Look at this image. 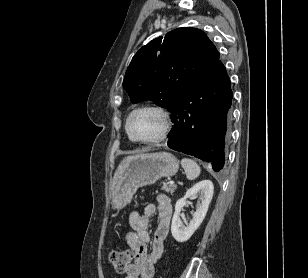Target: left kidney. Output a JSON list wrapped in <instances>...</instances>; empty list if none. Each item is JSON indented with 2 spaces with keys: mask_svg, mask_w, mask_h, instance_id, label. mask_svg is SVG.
Instances as JSON below:
<instances>
[{
  "mask_svg": "<svg viewBox=\"0 0 308 278\" xmlns=\"http://www.w3.org/2000/svg\"><path fill=\"white\" fill-rule=\"evenodd\" d=\"M213 191V183L210 180H203L187 190L184 197L176 202L171 224V233L176 241L182 243L189 240L193 233L199 228L208 211L209 204L213 197ZM196 195H199L201 203L193 213V219L187 226H184L179 217L180 212L186 205V200Z\"/></svg>",
  "mask_w": 308,
  "mask_h": 278,
  "instance_id": "left-kidney-1",
  "label": "left kidney"
}]
</instances>
